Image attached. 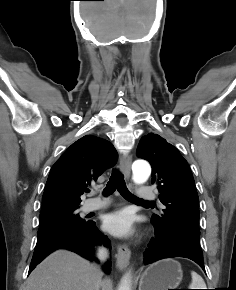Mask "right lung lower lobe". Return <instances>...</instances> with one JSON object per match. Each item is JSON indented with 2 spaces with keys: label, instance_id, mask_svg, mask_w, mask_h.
<instances>
[{
  "label": "right lung lower lobe",
  "instance_id": "right-lung-lower-lobe-1",
  "mask_svg": "<svg viewBox=\"0 0 236 290\" xmlns=\"http://www.w3.org/2000/svg\"><path fill=\"white\" fill-rule=\"evenodd\" d=\"M95 244H104L110 247L108 238L98 230L94 221H88V223L82 226L59 229L38 235L29 273L48 254L56 249H68L87 259H91V247ZM110 265V262L105 265V272H110Z\"/></svg>",
  "mask_w": 236,
  "mask_h": 290
}]
</instances>
